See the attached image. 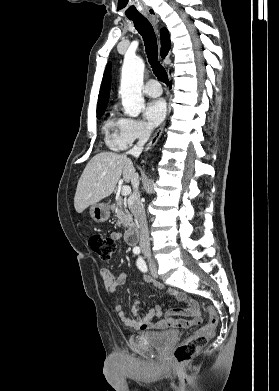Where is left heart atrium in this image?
I'll use <instances>...</instances> for the list:
<instances>
[{"label": "left heart atrium", "instance_id": "left-heart-atrium-1", "mask_svg": "<svg viewBox=\"0 0 279 391\" xmlns=\"http://www.w3.org/2000/svg\"><path fill=\"white\" fill-rule=\"evenodd\" d=\"M166 115V103L163 99H155L147 103L144 116L151 126L159 125Z\"/></svg>", "mask_w": 279, "mask_h": 391}]
</instances>
